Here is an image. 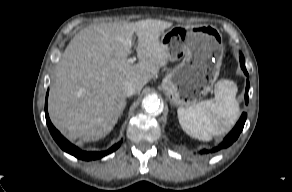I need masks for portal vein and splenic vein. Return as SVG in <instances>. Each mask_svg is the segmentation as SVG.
Instances as JSON below:
<instances>
[{
  "mask_svg": "<svg viewBox=\"0 0 292 192\" xmlns=\"http://www.w3.org/2000/svg\"><path fill=\"white\" fill-rule=\"evenodd\" d=\"M127 61H128V63L133 64L134 59L130 58V59H128Z\"/></svg>",
  "mask_w": 292,
  "mask_h": 192,
  "instance_id": "obj_1",
  "label": "portal vein and splenic vein"
}]
</instances>
